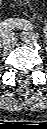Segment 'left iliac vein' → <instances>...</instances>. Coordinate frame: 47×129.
I'll list each match as a JSON object with an SVG mask.
<instances>
[{
	"label": "left iliac vein",
	"instance_id": "left-iliac-vein-1",
	"mask_svg": "<svg viewBox=\"0 0 47 129\" xmlns=\"http://www.w3.org/2000/svg\"><path fill=\"white\" fill-rule=\"evenodd\" d=\"M21 39L27 44H34L38 42V36L32 32H22Z\"/></svg>",
	"mask_w": 47,
	"mask_h": 129
}]
</instances>
